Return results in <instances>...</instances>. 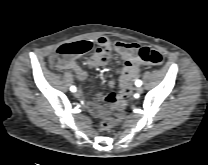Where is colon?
<instances>
[{"label":"colon","mask_w":208,"mask_h":165,"mask_svg":"<svg viewBox=\"0 0 208 165\" xmlns=\"http://www.w3.org/2000/svg\"><path fill=\"white\" fill-rule=\"evenodd\" d=\"M92 46L86 41H77L66 43L60 45L52 55L50 59V64L53 68H57L61 63L72 59L74 57L83 55L91 50ZM139 58L143 63L160 66L164 63V57L154 49L150 48H140L138 52ZM130 89L128 87H121L120 95L121 98L119 102L116 103L114 109L115 118L106 119L100 124L99 130L101 132L108 131L124 119V109H125V94L128 93Z\"/></svg>","instance_id":"obj_1"}]
</instances>
